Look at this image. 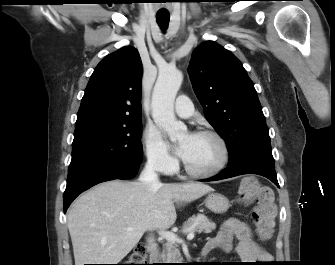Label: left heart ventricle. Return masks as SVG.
<instances>
[{
  "instance_id": "b2bd125f",
  "label": "left heart ventricle",
  "mask_w": 335,
  "mask_h": 265,
  "mask_svg": "<svg viewBox=\"0 0 335 265\" xmlns=\"http://www.w3.org/2000/svg\"><path fill=\"white\" fill-rule=\"evenodd\" d=\"M180 144L188 146L184 161L194 170H210L220 160L221 148L212 137L186 134L180 139Z\"/></svg>"
}]
</instances>
